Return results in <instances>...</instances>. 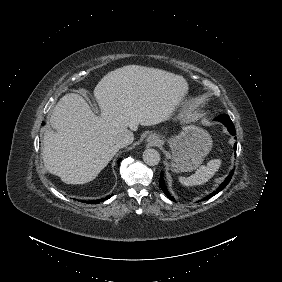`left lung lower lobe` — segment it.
Listing matches in <instances>:
<instances>
[{
	"instance_id": "1",
	"label": "left lung lower lobe",
	"mask_w": 282,
	"mask_h": 282,
	"mask_svg": "<svg viewBox=\"0 0 282 282\" xmlns=\"http://www.w3.org/2000/svg\"><path fill=\"white\" fill-rule=\"evenodd\" d=\"M215 120L222 122L228 128V131L232 135L236 134L234 124H233V122L231 121V119H230V117L228 115L222 114V115L216 117ZM234 149L236 150V144L234 145ZM233 173L234 172L232 171L230 173V175L225 179V181L218 187V189L215 192H213L210 195H208L207 197H205L204 199H202V201H204V200L214 196L215 194L219 193L230 182ZM159 185H160L161 189L163 190V192L165 193V195L170 200L174 201V198L170 195V193L168 192V190H167V188H166V186L164 184L163 174L162 173H161V177H160V180H159Z\"/></svg>"
}]
</instances>
